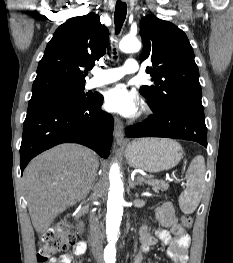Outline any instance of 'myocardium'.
<instances>
[{
  "instance_id": "myocardium-1",
  "label": "myocardium",
  "mask_w": 233,
  "mask_h": 263,
  "mask_svg": "<svg viewBox=\"0 0 233 263\" xmlns=\"http://www.w3.org/2000/svg\"><path fill=\"white\" fill-rule=\"evenodd\" d=\"M145 110H146L147 112H149V111H150L149 107H147V106H146Z\"/></svg>"
}]
</instances>
